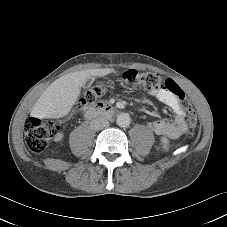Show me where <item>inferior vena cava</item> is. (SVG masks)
<instances>
[{
    "instance_id": "obj_1",
    "label": "inferior vena cava",
    "mask_w": 227,
    "mask_h": 227,
    "mask_svg": "<svg viewBox=\"0 0 227 227\" xmlns=\"http://www.w3.org/2000/svg\"><path fill=\"white\" fill-rule=\"evenodd\" d=\"M108 120L104 117H97L90 122V126L93 130H100L108 125Z\"/></svg>"
}]
</instances>
